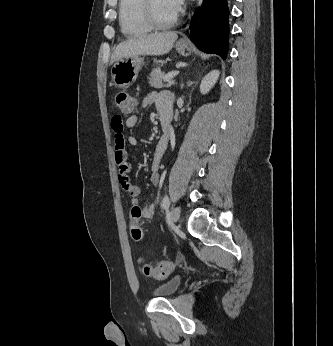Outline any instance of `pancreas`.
<instances>
[{
	"instance_id": "pancreas-1",
	"label": "pancreas",
	"mask_w": 333,
	"mask_h": 346,
	"mask_svg": "<svg viewBox=\"0 0 333 346\" xmlns=\"http://www.w3.org/2000/svg\"><path fill=\"white\" fill-rule=\"evenodd\" d=\"M165 73L161 72V69L159 67L152 70L150 73L148 79L149 83L154 88H163V87H171V85H174V81H169L168 83H164Z\"/></svg>"
}]
</instances>
